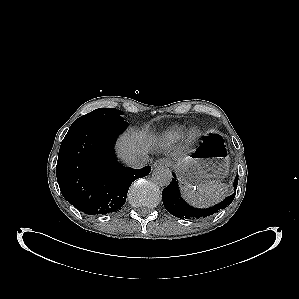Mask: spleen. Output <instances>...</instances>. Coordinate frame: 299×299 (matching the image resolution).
<instances>
[{"label":"spleen","mask_w":299,"mask_h":299,"mask_svg":"<svg viewBox=\"0 0 299 299\" xmlns=\"http://www.w3.org/2000/svg\"><path fill=\"white\" fill-rule=\"evenodd\" d=\"M182 195L191 205L199 208L219 203L228 194L226 184L219 181H208L200 186L184 185Z\"/></svg>","instance_id":"1"}]
</instances>
